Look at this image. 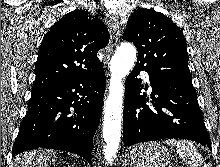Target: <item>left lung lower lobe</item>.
Segmentation results:
<instances>
[{
	"mask_svg": "<svg viewBox=\"0 0 220 167\" xmlns=\"http://www.w3.org/2000/svg\"><path fill=\"white\" fill-rule=\"evenodd\" d=\"M143 70L137 66L129 74L123 111L124 145L163 138L190 139L211 149L192 82L172 81L150 76L151 98L140 95L143 88L137 78ZM148 85L145 86V89ZM151 100V106L146 101Z\"/></svg>",
	"mask_w": 220,
	"mask_h": 167,
	"instance_id": "left-lung-lower-lobe-1",
	"label": "left lung lower lobe"
}]
</instances>
